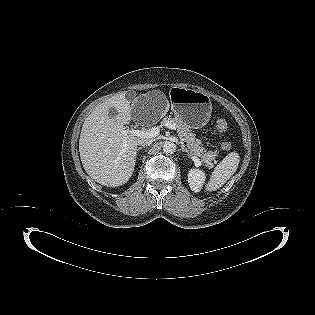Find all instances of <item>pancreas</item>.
Masks as SVG:
<instances>
[{
	"label": "pancreas",
	"instance_id": "1",
	"mask_svg": "<svg viewBox=\"0 0 315 315\" xmlns=\"http://www.w3.org/2000/svg\"><path fill=\"white\" fill-rule=\"evenodd\" d=\"M165 123H174L176 125L180 140L186 143L188 151L191 154L200 156L205 165H213L211 161L215 162V156L218 154L217 151H208L204 153L205 151L201 146V140L196 138V135L180 118L165 117L161 121V125H164Z\"/></svg>",
	"mask_w": 315,
	"mask_h": 315
}]
</instances>
